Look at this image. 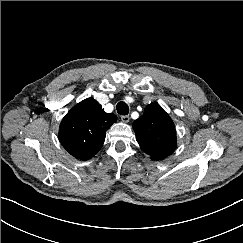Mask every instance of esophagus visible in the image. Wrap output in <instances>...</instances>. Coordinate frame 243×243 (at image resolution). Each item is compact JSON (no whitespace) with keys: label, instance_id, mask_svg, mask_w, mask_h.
<instances>
[{"label":"esophagus","instance_id":"34e87169","mask_svg":"<svg viewBox=\"0 0 243 243\" xmlns=\"http://www.w3.org/2000/svg\"><path fill=\"white\" fill-rule=\"evenodd\" d=\"M121 120H122L123 122H125V123H128L129 120H130V117H129V115H123V116H121Z\"/></svg>","mask_w":243,"mask_h":243}]
</instances>
